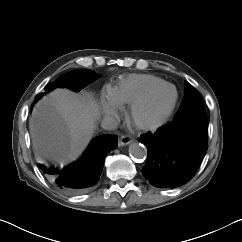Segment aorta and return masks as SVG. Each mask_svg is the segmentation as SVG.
<instances>
[{"label": "aorta", "instance_id": "aorta-1", "mask_svg": "<svg viewBox=\"0 0 242 242\" xmlns=\"http://www.w3.org/2000/svg\"><path fill=\"white\" fill-rule=\"evenodd\" d=\"M130 155L136 159H144L147 156V150L141 143L133 142L129 146Z\"/></svg>", "mask_w": 242, "mask_h": 242}]
</instances>
